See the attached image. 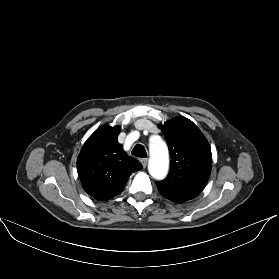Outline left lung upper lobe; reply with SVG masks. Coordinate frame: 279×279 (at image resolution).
Here are the masks:
<instances>
[{
    "mask_svg": "<svg viewBox=\"0 0 279 279\" xmlns=\"http://www.w3.org/2000/svg\"><path fill=\"white\" fill-rule=\"evenodd\" d=\"M159 128L170 151V172L163 181H157L162 196L175 203H184L198 196L211 172L210 145L197 128L185 117H176Z\"/></svg>",
    "mask_w": 279,
    "mask_h": 279,
    "instance_id": "left-lung-upper-lobe-1",
    "label": "left lung upper lobe"
}]
</instances>
